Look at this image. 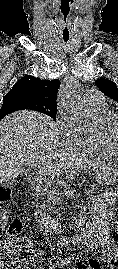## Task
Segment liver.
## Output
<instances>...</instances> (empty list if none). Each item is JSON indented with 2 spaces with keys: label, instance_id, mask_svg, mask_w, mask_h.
<instances>
[{
  "label": "liver",
  "instance_id": "1",
  "mask_svg": "<svg viewBox=\"0 0 118 269\" xmlns=\"http://www.w3.org/2000/svg\"><path fill=\"white\" fill-rule=\"evenodd\" d=\"M59 129L47 115L22 110L0 121V183L17 178L23 165L43 174L59 175L67 169L88 170L100 163L58 149Z\"/></svg>",
  "mask_w": 118,
  "mask_h": 269
}]
</instances>
